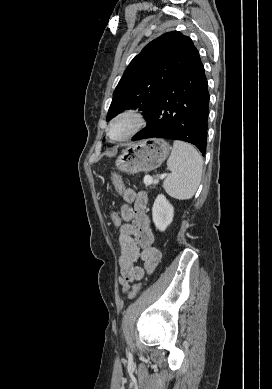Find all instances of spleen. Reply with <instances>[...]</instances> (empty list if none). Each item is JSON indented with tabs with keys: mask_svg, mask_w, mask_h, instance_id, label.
I'll return each mask as SVG.
<instances>
[{
	"mask_svg": "<svg viewBox=\"0 0 272 389\" xmlns=\"http://www.w3.org/2000/svg\"><path fill=\"white\" fill-rule=\"evenodd\" d=\"M167 166L171 173L163 183L165 191L180 200L192 198L202 175L200 153L188 143L174 141Z\"/></svg>",
	"mask_w": 272,
	"mask_h": 389,
	"instance_id": "obj_1",
	"label": "spleen"
}]
</instances>
